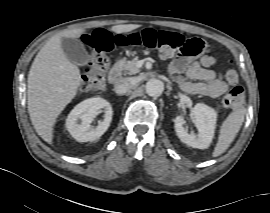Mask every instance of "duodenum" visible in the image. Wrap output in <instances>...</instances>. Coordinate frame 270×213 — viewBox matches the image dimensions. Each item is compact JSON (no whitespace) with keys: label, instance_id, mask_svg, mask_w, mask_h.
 Instances as JSON below:
<instances>
[{"label":"duodenum","instance_id":"obj_1","mask_svg":"<svg viewBox=\"0 0 270 213\" xmlns=\"http://www.w3.org/2000/svg\"><path fill=\"white\" fill-rule=\"evenodd\" d=\"M120 78V68L117 65H112L108 72V80L111 83H116Z\"/></svg>","mask_w":270,"mask_h":213}]
</instances>
